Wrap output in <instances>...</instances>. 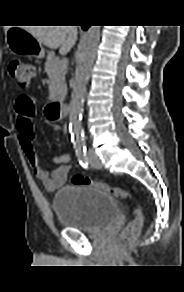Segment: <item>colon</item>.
<instances>
[{
    "label": "colon",
    "mask_w": 184,
    "mask_h": 292,
    "mask_svg": "<svg viewBox=\"0 0 184 292\" xmlns=\"http://www.w3.org/2000/svg\"><path fill=\"white\" fill-rule=\"evenodd\" d=\"M10 75L15 79L17 86L20 89H27L35 75V66L31 63L24 62L19 59H14L9 64ZM15 111L19 125L24 129L33 127L34 119L36 116V103L34 98L27 94L20 95L15 102ZM72 183L92 185L101 189L108 194L117 198L131 197V193L123 188L113 187L103 182L93 181L90 178L82 175H75L72 178ZM144 221L142 209L137 206L134 213V218L126 227L121 231L119 242L122 245L133 243L142 228Z\"/></svg>",
    "instance_id": "obj_1"
}]
</instances>
